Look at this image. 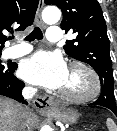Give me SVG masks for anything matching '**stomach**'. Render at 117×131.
Instances as JSON below:
<instances>
[{
	"instance_id": "1",
	"label": "stomach",
	"mask_w": 117,
	"mask_h": 131,
	"mask_svg": "<svg viewBox=\"0 0 117 131\" xmlns=\"http://www.w3.org/2000/svg\"><path fill=\"white\" fill-rule=\"evenodd\" d=\"M48 114L55 117L57 120L67 124H75L79 117L76 111L67 109L62 106L58 107L57 109L51 110Z\"/></svg>"
}]
</instances>
